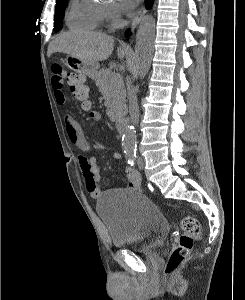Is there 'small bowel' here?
I'll return each mask as SVG.
<instances>
[{"mask_svg":"<svg viewBox=\"0 0 245 300\" xmlns=\"http://www.w3.org/2000/svg\"><path fill=\"white\" fill-rule=\"evenodd\" d=\"M54 98L58 105H64L66 98L63 92L64 81L57 75H53L51 79ZM89 117L92 121L100 122L102 120L101 114L97 110H90ZM65 129L69 140L76 145L82 152L88 153L91 150L90 143L86 139L80 124L73 118L72 115L66 114L64 118ZM113 159H121L120 153H113ZM78 163L81 174L86 186V189L92 198H99L101 196L100 175L97 160L94 156H87L81 154L78 156ZM127 187L136 190L140 187V174L131 167L126 169Z\"/></svg>","mask_w":245,"mask_h":300,"instance_id":"obj_1","label":"small bowel"}]
</instances>
